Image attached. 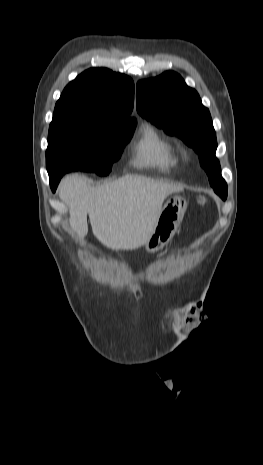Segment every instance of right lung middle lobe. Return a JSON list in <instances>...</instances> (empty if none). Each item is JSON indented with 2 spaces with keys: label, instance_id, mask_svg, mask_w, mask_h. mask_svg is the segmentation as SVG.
Instances as JSON below:
<instances>
[{
  "label": "right lung middle lobe",
  "instance_id": "right-lung-middle-lobe-1",
  "mask_svg": "<svg viewBox=\"0 0 263 465\" xmlns=\"http://www.w3.org/2000/svg\"><path fill=\"white\" fill-rule=\"evenodd\" d=\"M136 123L86 111H54L46 150L49 176L73 170L107 175L131 139Z\"/></svg>",
  "mask_w": 263,
  "mask_h": 465
}]
</instances>
